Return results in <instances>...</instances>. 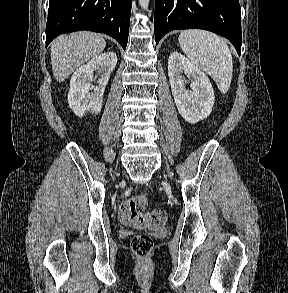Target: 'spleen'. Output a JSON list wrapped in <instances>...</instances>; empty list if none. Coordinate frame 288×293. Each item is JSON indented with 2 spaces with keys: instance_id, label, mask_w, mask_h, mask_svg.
Listing matches in <instances>:
<instances>
[{
  "instance_id": "spleen-1",
  "label": "spleen",
  "mask_w": 288,
  "mask_h": 293,
  "mask_svg": "<svg viewBox=\"0 0 288 293\" xmlns=\"http://www.w3.org/2000/svg\"><path fill=\"white\" fill-rule=\"evenodd\" d=\"M179 44L191 63L210 75L222 93L229 90L232 55L221 37L208 31L190 29L180 33Z\"/></svg>"
}]
</instances>
